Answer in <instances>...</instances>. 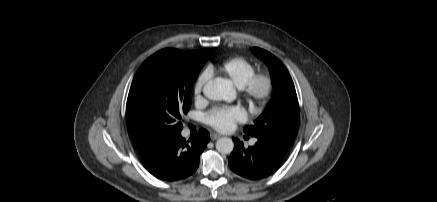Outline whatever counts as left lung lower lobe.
<instances>
[{
  "instance_id": "1",
  "label": "left lung lower lobe",
  "mask_w": 437,
  "mask_h": 202,
  "mask_svg": "<svg viewBox=\"0 0 437 202\" xmlns=\"http://www.w3.org/2000/svg\"><path fill=\"white\" fill-rule=\"evenodd\" d=\"M234 150L229 158V166L237 175L259 180L272 175L282 164L285 154L258 139L254 146L244 148L243 143L233 138Z\"/></svg>"
}]
</instances>
